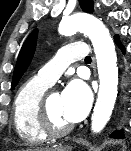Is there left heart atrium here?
Returning a JSON list of instances; mask_svg holds the SVG:
<instances>
[{"instance_id":"39dd6f15","label":"left heart atrium","mask_w":131,"mask_h":151,"mask_svg":"<svg viewBox=\"0 0 131 151\" xmlns=\"http://www.w3.org/2000/svg\"><path fill=\"white\" fill-rule=\"evenodd\" d=\"M63 113L70 123L82 120L92 103V92L82 80H72L61 93Z\"/></svg>"}]
</instances>
